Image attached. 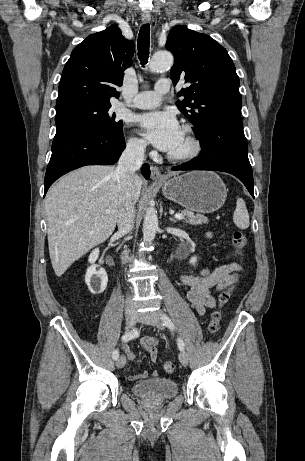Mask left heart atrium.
I'll list each match as a JSON object with an SVG mask.
<instances>
[{
    "mask_svg": "<svg viewBox=\"0 0 305 461\" xmlns=\"http://www.w3.org/2000/svg\"><path fill=\"white\" fill-rule=\"evenodd\" d=\"M141 133L156 148L170 152L181 136V127L171 112H150L135 118Z\"/></svg>",
    "mask_w": 305,
    "mask_h": 461,
    "instance_id": "left-heart-atrium-1",
    "label": "left heart atrium"
}]
</instances>
